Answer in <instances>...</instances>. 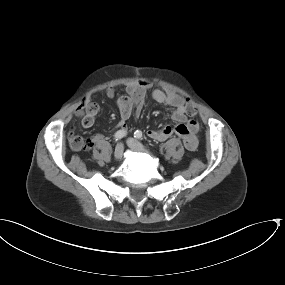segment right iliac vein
Returning a JSON list of instances; mask_svg holds the SVG:
<instances>
[{"mask_svg": "<svg viewBox=\"0 0 285 285\" xmlns=\"http://www.w3.org/2000/svg\"><path fill=\"white\" fill-rule=\"evenodd\" d=\"M114 157L116 160H121L123 157V145L121 143L117 144L114 151Z\"/></svg>", "mask_w": 285, "mask_h": 285, "instance_id": "right-iliac-vein-1", "label": "right iliac vein"}]
</instances>
